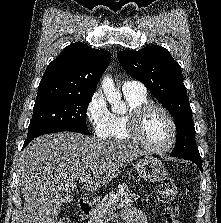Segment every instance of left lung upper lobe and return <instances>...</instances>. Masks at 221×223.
Wrapping results in <instances>:
<instances>
[{
	"label": "left lung upper lobe",
	"mask_w": 221,
	"mask_h": 223,
	"mask_svg": "<svg viewBox=\"0 0 221 223\" xmlns=\"http://www.w3.org/2000/svg\"><path fill=\"white\" fill-rule=\"evenodd\" d=\"M117 58L126 72L141 81L173 116L177 139L171 156L200 157L181 68L168 50L151 45L137 52L122 51Z\"/></svg>",
	"instance_id": "5c2ea615"
}]
</instances>
